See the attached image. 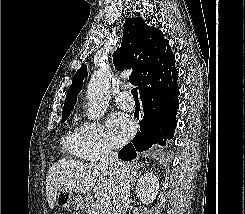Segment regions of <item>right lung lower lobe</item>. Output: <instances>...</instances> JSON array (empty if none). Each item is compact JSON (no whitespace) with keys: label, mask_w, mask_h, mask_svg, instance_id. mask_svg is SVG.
Listing matches in <instances>:
<instances>
[{"label":"right lung lower lobe","mask_w":245,"mask_h":214,"mask_svg":"<svg viewBox=\"0 0 245 214\" xmlns=\"http://www.w3.org/2000/svg\"><path fill=\"white\" fill-rule=\"evenodd\" d=\"M177 78L174 57L146 76L140 89L144 109L140 131L132 143L119 151V159L132 160L136 152L146 151L156 144L165 146V140L173 138L179 95Z\"/></svg>","instance_id":"1"}]
</instances>
